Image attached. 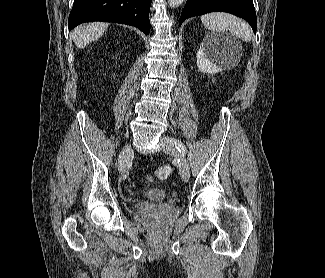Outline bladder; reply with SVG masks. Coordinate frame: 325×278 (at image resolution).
Returning a JSON list of instances; mask_svg holds the SVG:
<instances>
[{
  "label": "bladder",
  "mask_w": 325,
  "mask_h": 278,
  "mask_svg": "<svg viewBox=\"0 0 325 278\" xmlns=\"http://www.w3.org/2000/svg\"><path fill=\"white\" fill-rule=\"evenodd\" d=\"M146 197L151 200H162L171 197V193L164 188H156L146 192Z\"/></svg>",
  "instance_id": "bladder-1"
}]
</instances>
